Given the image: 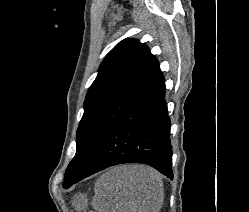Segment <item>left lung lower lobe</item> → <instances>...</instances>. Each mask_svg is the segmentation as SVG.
<instances>
[{
    "instance_id": "0a47b994",
    "label": "left lung lower lobe",
    "mask_w": 249,
    "mask_h": 212,
    "mask_svg": "<svg viewBox=\"0 0 249 212\" xmlns=\"http://www.w3.org/2000/svg\"><path fill=\"white\" fill-rule=\"evenodd\" d=\"M165 90L164 77L159 70L120 116L92 162L74 183L108 167L124 163L147 164L168 178H173L170 119ZM73 184L64 188L67 189Z\"/></svg>"
}]
</instances>
